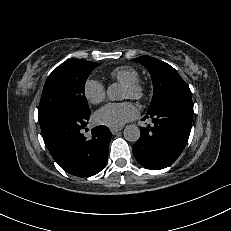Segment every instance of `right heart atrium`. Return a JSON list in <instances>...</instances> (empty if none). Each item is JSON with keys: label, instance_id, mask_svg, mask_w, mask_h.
I'll return each instance as SVG.
<instances>
[{"label": "right heart atrium", "instance_id": "1", "mask_svg": "<svg viewBox=\"0 0 231 231\" xmlns=\"http://www.w3.org/2000/svg\"><path fill=\"white\" fill-rule=\"evenodd\" d=\"M83 93L91 104H99L105 100L106 90L104 85L97 79H88L84 83Z\"/></svg>", "mask_w": 231, "mask_h": 231}]
</instances>
